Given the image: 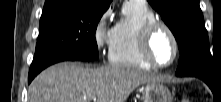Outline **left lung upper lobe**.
I'll list each match as a JSON object with an SVG mask.
<instances>
[{
	"label": "left lung upper lobe",
	"instance_id": "1",
	"mask_svg": "<svg viewBox=\"0 0 221 102\" xmlns=\"http://www.w3.org/2000/svg\"><path fill=\"white\" fill-rule=\"evenodd\" d=\"M170 28L179 45L177 76L213 79L212 59L207 30L199 0H148Z\"/></svg>",
	"mask_w": 221,
	"mask_h": 102
}]
</instances>
